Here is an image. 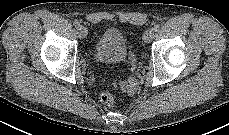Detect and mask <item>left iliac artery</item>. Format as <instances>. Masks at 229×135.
<instances>
[{
    "label": "left iliac artery",
    "instance_id": "44dca946",
    "mask_svg": "<svg viewBox=\"0 0 229 135\" xmlns=\"http://www.w3.org/2000/svg\"><path fill=\"white\" fill-rule=\"evenodd\" d=\"M160 26L159 24L154 25L153 31L157 32L159 30Z\"/></svg>",
    "mask_w": 229,
    "mask_h": 135
}]
</instances>
